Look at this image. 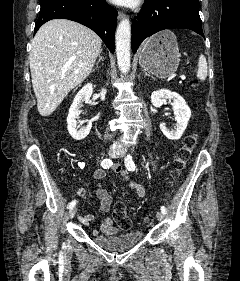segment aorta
<instances>
[{
    "mask_svg": "<svg viewBox=\"0 0 240 281\" xmlns=\"http://www.w3.org/2000/svg\"><path fill=\"white\" fill-rule=\"evenodd\" d=\"M118 67L123 74L130 70L131 25L128 19L120 21L115 35Z\"/></svg>",
    "mask_w": 240,
    "mask_h": 281,
    "instance_id": "1",
    "label": "aorta"
}]
</instances>
